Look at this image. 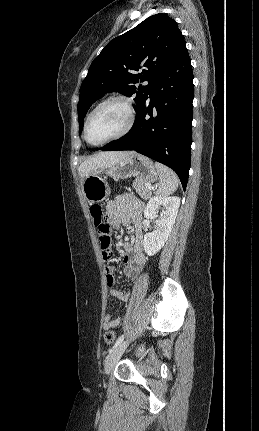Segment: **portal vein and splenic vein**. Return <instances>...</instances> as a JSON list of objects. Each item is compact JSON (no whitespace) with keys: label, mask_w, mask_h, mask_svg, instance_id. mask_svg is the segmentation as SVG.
Segmentation results:
<instances>
[{"label":"portal vein and splenic vein","mask_w":259,"mask_h":431,"mask_svg":"<svg viewBox=\"0 0 259 431\" xmlns=\"http://www.w3.org/2000/svg\"><path fill=\"white\" fill-rule=\"evenodd\" d=\"M146 187H147L148 189H150V190H151V189H153V187H152L150 184H148V183L146 184Z\"/></svg>","instance_id":"18ae733b"}]
</instances>
